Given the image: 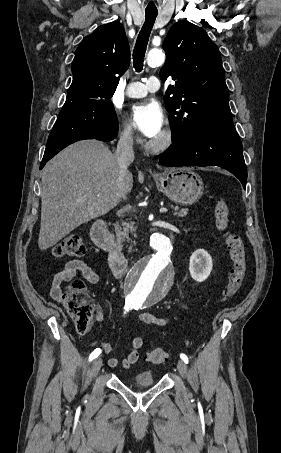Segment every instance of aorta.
<instances>
[{
	"mask_svg": "<svg viewBox=\"0 0 281 453\" xmlns=\"http://www.w3.org/2000/svg\"><path fill=\"white\" fill-rule=\"evenodd\" d=\"M164 61L165 54L162 50L153 49L148 53V65H162ZM150 244L155 254L137 263L126 278L127 301L135 307L158 303L173 285L171 240L163 234L155 233L150 238Z\"/></svg>",
	"mask_w": 281,
	"mask_h": 453,
	"instance_id": "obj_1",
	"label": "aorta"
}]
</instances>
